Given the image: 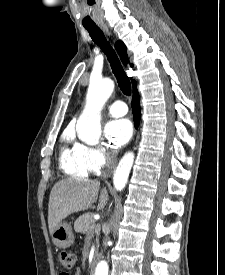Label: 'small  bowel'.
Here are the masks:
<instances>
[{"label":"small bowel","instance_id":"c3829d8e","mask_svg":"<svg viewBox=\"0 0 225 275\" xmlns=\"http://www.w3.org/2000/svg\"><path fill=\"white\" fill-rule=\"evenodd\" d=\"M67 274V273H66ZM67 275H80V271L78 269L74 270L73 273Z\"/></svg>","mask_w":225,"mask_h":275}]
</instances>
